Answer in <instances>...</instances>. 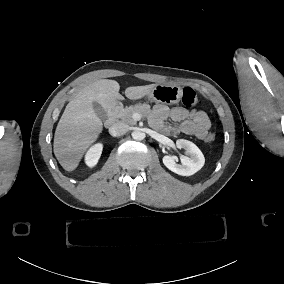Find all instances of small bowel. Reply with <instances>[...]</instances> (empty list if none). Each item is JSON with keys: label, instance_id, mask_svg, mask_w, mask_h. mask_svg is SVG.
Wrapping results in <instances>:
<instances>
[{"label": "small bowel", "instance_id": "c3829d8e", "mask_svg": "<svg viewBox=\"0 0 284 284\" xmlns=\"http://www.w3.org/2000/svg\"><path fill=\"white\" fill-rule=\"evenodd\" d=\"M170 121L177 124H170ZM151 122L168 134L192 135L201 140L206 138L211 127L210 119L203 111L169 108L162 104L154 107Z\"/></svg>", "mask_w": 284, "mask_h": 284}]
</instances>
